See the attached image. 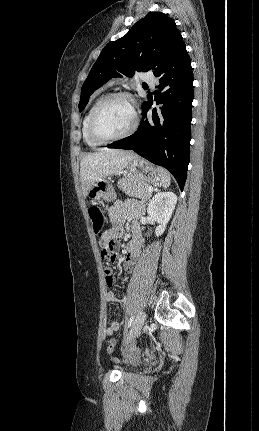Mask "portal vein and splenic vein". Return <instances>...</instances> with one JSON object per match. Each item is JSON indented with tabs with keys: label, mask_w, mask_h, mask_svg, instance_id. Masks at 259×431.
Instances as JSON below:
<instances>
[{
	"label": "portal vein and splenic vein",
	"mask_w": 259,
	"mask_h": 431,
	"mask_svg": "<svg viewBox=\"0 0 259 431\" xmlns=\"http://www.w3.org/2000/svg\"><path fill=\"white\" fill-rule=\"evenodd\" d=\"M148 191H149V192H152V191H153V188H152V187H148Z\"/></svg>",
	"instance_id": "portal-vein-and-splenic-vein-1"
}]
</instances>
